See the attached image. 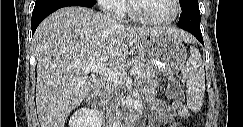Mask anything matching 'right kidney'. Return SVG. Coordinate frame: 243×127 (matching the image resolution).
<instances>
[{
  "mask_svg": "<svg viewBox=\"0 0 243 127\" xmlns=\"http://www.w3.org/2000/svg\"><path fill=\"white\" fill-rule=\"evenodd\" d=\"M101 124L100 114L86 107L74 112L69 121V127H101Z\"/></svg>",
  "mask_w": 243,
  "mask_h": 127,
  "instance_id": "1",
  "label": "right kidney"
}]
</instances>
